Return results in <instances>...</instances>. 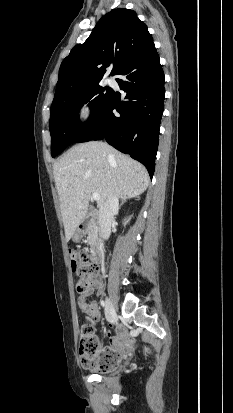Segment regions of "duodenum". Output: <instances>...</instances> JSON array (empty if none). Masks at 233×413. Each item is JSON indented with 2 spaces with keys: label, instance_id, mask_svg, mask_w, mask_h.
I'll return each instance as SVG.
<instances>
[{
  "label": "duodenum",
  "instance_id": "1",
  "mask_svg": "<svg viewBox=\"0 0 233 413\" xmlns=\"http://www.w3.org/2000/svg\"><path fill=\"white\" fill-rule=\"evenodd\" d=\"M80 232L82 234H85L88 231L89 225L88 223H81L80 226ZM92 256L94 258V260L96 261H101L103 258V249L101 244L96 243L93 248H92Z\"/></svg>",
  "mask_w": 233,
  "mask_h": 413
}]
</instances>
